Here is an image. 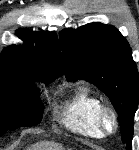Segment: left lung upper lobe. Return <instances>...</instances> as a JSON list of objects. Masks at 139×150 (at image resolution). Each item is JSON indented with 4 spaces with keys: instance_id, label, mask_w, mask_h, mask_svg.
I'll list each match as a JSON object with an SVG mask.
<instances>
[{
    "instance_id": "1",
    "label": "left lung upper lobe",
    "mask_w": 139,
    "mask_h": 150,
    "mask_svg": "<svg viewBox=\"0 0 139 150\" xmlns=\"http://www.w3.org/2000/svg\"><path fill=\"white\" fill-rule=\"evenodd\" d=\"M67 79H85L104 92L120 118L122 141L131 148L139 101V73L126 39L111 25L89 23L59 34Z\"/></svg>"
}]
</instances>
